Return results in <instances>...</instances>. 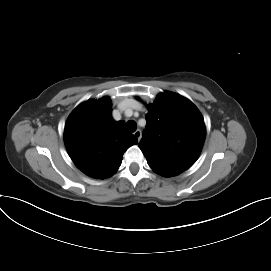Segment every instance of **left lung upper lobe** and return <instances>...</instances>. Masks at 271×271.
<instances>
[{"mask_svg": "<svg viewBox=\"0 0 271 271\" xmlns=\"http://www.w3.org/2000/svg\"><path fill=\"white\" fill-rule=\"evenodd\" d=\"M139 148L149 165L181 173L197 160L205 124L196 106L181 95L165 92L148 107Z\"/></svg>", "mask_w": 271, "mask_h": 271, "instance_id": "left-lung-upper-lobe-1", "label": "left lung upper lobe"}]
</instances>
